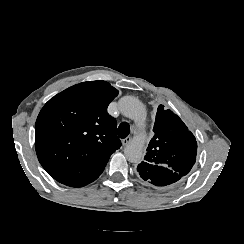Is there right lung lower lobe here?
I'll use <instances>...</instances> for the list:
<instances>
[{"label": "right lung lower lobe", "mask_w": 244, "mask_h": 244, "mask_svg": "<svg viewBox=\"0 0 244 244\" xmlns=\"http://www.w3.org/2000/svg\"><path fill=\"white\" fill-rule=\"evenodd\" d=\"M102 172H103V171H102ZM102 172H101V173H102ZM101 173H100V174H101ZM100 174H99V175H100ZM99 175H98V177H99ZM98 177H97V178H98ZM97 178H96V179H97ZM67 185H68V186H72V187H82V186H85V185H80V184H79L78 182H76V181H75V182H71V183H69V184H67Z\"/></svg>", "instance_id": "obj_1"}]
</instances>
